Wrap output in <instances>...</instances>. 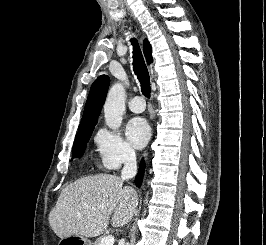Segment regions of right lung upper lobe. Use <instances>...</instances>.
I'll list each match as a JSON object with an SVG mask.
<instances>
[{
  "mask_svg": "<svg viewBox=\"0 0 266 245\" xmlns=\"http://www.w3.org/2000/svg\"><path fill=\"white\" fill-rule=\"evenodd\" d=\"M144 54L148 63L153 61L151 45L147 39L144 40ZM110 79L107 75L99 76L91 86L87 102L85 105L83 117L79 126L97 121L103 103L106 99Z\"/></svg>",
  "mask_w": 266,
  "mask_h": 245,
  "instance_id": "1",
  "label": "right lung upper lobe"
}]
</instances>
